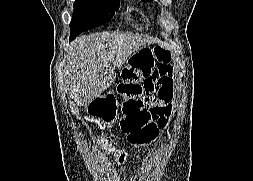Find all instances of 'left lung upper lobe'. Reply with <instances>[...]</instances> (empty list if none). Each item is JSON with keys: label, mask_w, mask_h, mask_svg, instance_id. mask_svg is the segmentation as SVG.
Segmentation results:
<instances>
[{"label": "left lung upper lobe", "mask_w": 253, "mask_h": 181, "mask_svg": "<svg viewBox=\"0 0 253 181\" xmlns=\"http://www.w3.org/2000/svg\"><path fill=\"white\" fill-rule=\"evenodd\" d=\"M142 1H144V2H149L150 0H142Z\"/></svg>", "instance_id": "left-lung-upper-lobe-1"}]
</instances>
